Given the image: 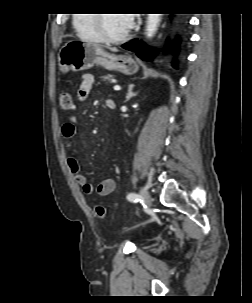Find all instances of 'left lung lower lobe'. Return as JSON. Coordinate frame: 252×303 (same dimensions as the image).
<instances>
[{
	"label": "left lung lower lobe",
	"instance_id": "0a47b994",
	"mask_svg": "<svg viewBox=\"0 0 252 303\" xmlns=\"http://www.w3.org/2000/svg\"><path fill=\"white\" fill-rule=\"evenodd\" d=\"M167 46L172 47L177 52L178 49L177 42H174L172 45L168 44ZM122 48L135 52L139 58L145 61L152 60V57L155 55L154 49H151L148 46L144 45L143 42L138 41V39H134L129 43L123 44ZM173 66L176 67L175 64Z\"/></svg>",
	"mask_w": 252,
	"mask_h": 303
}]
</instances>
